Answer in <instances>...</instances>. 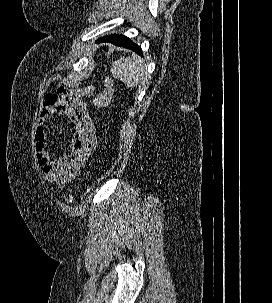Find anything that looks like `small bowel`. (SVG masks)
<instances>
[{"label": "small bowel", "mask_w": 272, "mask_h": 303, "mask_svg": "<svg viewBox=\"0 0 272 303\" xmlns=\"http://www.w3.org/2000/svg\"><path fill=\"white\" fill-rule=\"evenodd\" d=\"M93 94L92 87L66 89L60 87L45 96L35 129V155L44 179L58 188L72 183L86 166L90 153L97 147V133L93 117L84 96ZM55 116L70 119L71 150L53 158L48 148L47 126Z\"/></svg>", "instance_id": "1"}]
</instances>
